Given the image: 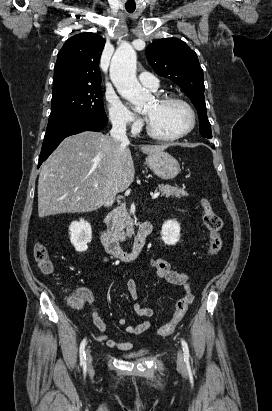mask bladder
<instances>
[{
  "label": "bladder",
  "mask_w": 272,
  "mask_h": 411,
  "mask_svg": "<svg viewBox=\"0 0 272 411\" xmlns=\"http://www.w3.org/2000/svg\"><path fill=\"white\" fill-rule=\"evenodd\" d=\"M144 354H129V355H125L126 358L128 359H138V358H142L144 357Z\"/></svg>",
  "instance_id": "31cf9c89"
}]
</instances>
